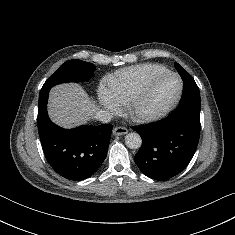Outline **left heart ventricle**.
Wrapping results in <instances>:
<instances>
[{"label": "left heart ventricle", "mask_w": 235, "mask_h": 235, "mask_svg": "<svg viewBox=\"0 0 235 235\" xmlns=\"http://www.w3.org/2000/svg\"><path fill=\"white\" fill-rule=\"evenodd\" d=\"M179 90V82L174 77H165L157 80L145 99L142 110L155 112L168 105Z\"/></svg>", "instance_id": "b2bd125f"}]
</instances>
